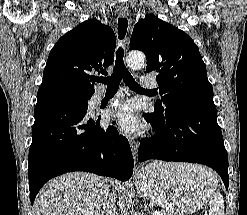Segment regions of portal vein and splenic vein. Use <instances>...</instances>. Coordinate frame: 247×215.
I'll list each match as a JSON object with an SVG mask.
<instances>
[{"instance_id":"obj_1","label":"portal vein and splenic vein","mask_w":247,"mask_h":215,"mask_svg":"<svg viewBox=\"0 0 247 215\" xmlns=\"http://www.w3.org/2000/svg\"><path fill=\"white\" fill-rule=\"evenodd\" d=\"M153 215H163L162 212L159 211H153Z\"/></svg>"}]
</instances>
